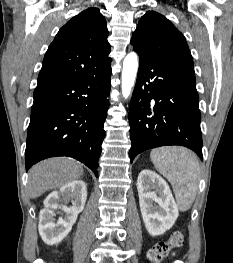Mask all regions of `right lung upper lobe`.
<instances>
[{"mask_svg": "<svg viewBox=\"0 0 233 263\" xmlns=\"http://www.w3.org/2000/svg\"><path fill=\"white\" fill-rule=\"evenodd\" d=\"M107 24L98 8L73 17L50 44L37 86L87 77L110 61Z\"/></svg>", "mask_w": 233, "mask_h": 263, "instance_id": "1", "label": "right lung upper lobe"}]
</instances>
